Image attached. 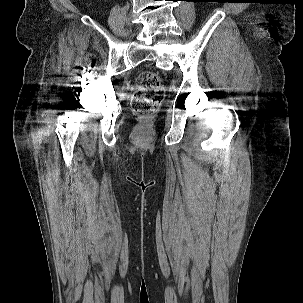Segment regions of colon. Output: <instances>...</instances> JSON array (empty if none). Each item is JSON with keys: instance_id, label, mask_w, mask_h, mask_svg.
<instances>
[{"instance_id": "obj_1", "label": "colon", "mask_w": 303, "mask_h": 303, "mask_svg": "<svg viewBox=\"0 0 303 303\" xmlns=\"http://www.w3.org/2000/svg\"><path fill=\"white\" fill-rule=\"evenodd\" d=\"M135 102L138 111L149 116L166 98V90L158 74L150 71L142 72L136 80Z\"/></svg>"}]
</instances>
